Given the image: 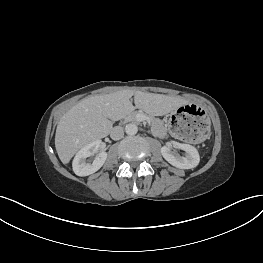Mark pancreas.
I'll return each instance as SVG.
<instances>
[{
    "label": "pancreas",
    "instance_id": "obj_1",
    "mask_svg": "<svg viewBox=\"0 0 263 263\" xmlns=\"http://www.w3.org/2000/svg\"><path fill=\"white\" fill-rule=\"evenodd\" d=\"M138 114L146 115L142 111H134L126 115L125 120L126 121H138V118H137ZM146 116L150 119L151 126H152L151 127L152 133L155 136L163 138L165 135V127H164L163 121L153 116H149V115H146Z\"/></svg>",
    "mask_w": 263,
    "mask_h": 263
}]
</instances>
